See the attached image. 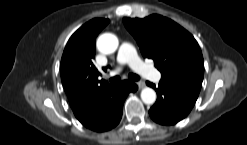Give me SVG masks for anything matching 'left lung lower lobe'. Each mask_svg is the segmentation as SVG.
Listing matches in <instances>:
<instances>
[{
  "instance_id": "0a47b994",
  "label": "left lung lower lobe",
  "mask_w": 247,
  "mask_h": 145,
  "mask_svg": "<svg viewBox=\"0 0 247 145\" xmlns=\"http://www.w3.org/2000/svg\"><path fill=\"white\" fill-rule=\"evenodd\" d=\"M147 85L157 92V101L149 114L162 125H173L185 118L199 95V92L172 80L161 79L157 88L150 82Z\"/></svg>"
}]
</instances>
